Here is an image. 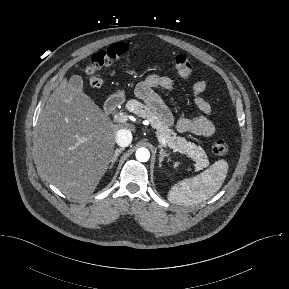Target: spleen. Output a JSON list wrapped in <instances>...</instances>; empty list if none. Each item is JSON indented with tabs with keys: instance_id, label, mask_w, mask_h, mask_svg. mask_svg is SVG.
<instances>
[{
	"instance_id": "3e777b00",
	"label": "spleen",
	"mask_w": 289,
	"mask_h": 289,
	"mask_svg": "<svg viewBox=\"0 0 289 289\" xmlns=\"http://www.w3.org/2000/svg\"><path fill=\"white\" fill-rule=\"evenodd\" d=\"M228 173V163L218 160L202 173L175 184L168 199L179 205H196L212 197L222 186Z\"/></svg>"
}]
</instances>
